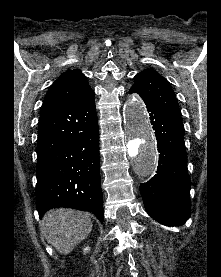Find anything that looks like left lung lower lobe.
Returning a JSON list of instances; mask_svg holds the SVG:
<instances>
[{"mask_svg":"<svg viewBox=\"0 0 221 277\" xmlns=\"http://www.w3.org/2000/svg\"><path fill=\"white\" fill-rule=\"evenodd\" d=\"M129 93L139 94L133 89H130ZM141 98L149 112L160 152L157 174L140 185L144 206L147 213L159 223L179 225L191 215L190 177L186 170L184 127L169 117L153 101L143 96Z\"/></svg>","mask_w":221,"mask_h":277,"instance_id":"left-lung-lower-lobe-1","label":"left lung lower lobe"}]
</instances>
